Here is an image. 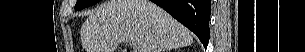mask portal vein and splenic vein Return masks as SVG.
<instances>
[{
	"instance_id": "portal-vein-and-splenic-vein-1",
	"label": "portal vein and splenic vein",
	"mask_w": 305,
	"mask_h": 52,
	"mask_svg": "<svg viewBox=\"0 0 305 52\" xmlns=\"http://www.w3.org/2000/svg\"><path fill=\"white\" fill-rule=\"evenodd\" d=\"M128 42L133 43V41H132V40H131V41H129V40H128Z\"/></svg>"
}]
</instances>
